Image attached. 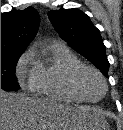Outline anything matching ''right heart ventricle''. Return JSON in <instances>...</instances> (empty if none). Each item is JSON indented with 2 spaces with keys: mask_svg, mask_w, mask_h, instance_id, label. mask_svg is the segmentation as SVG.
<instances>
[{
  "mask_svg": "<svg viewBox=\"0 0 123 130\" xmlns=\"http://www.w3.org/2000/svg\"><path fill=\"white\" fill-rule=\"evenodd\" d=\"M83 64L65 44L53 42L45 51L43 59H36V74L30 89L37 95L66 103L84 100L76 95L68 81L70 70Z\"/></svg>",
  "mask_w": 123,
  "mask_h": 130,
  "instance_id": "e07e8e85",
  "label": "right heart ventricle"
}]
</instances>
